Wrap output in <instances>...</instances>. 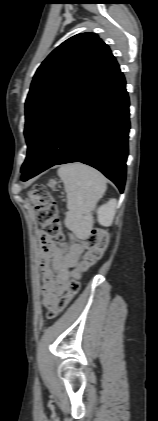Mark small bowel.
<instances>
[{"instance_id":"small-bowel-1","label":"small bowel","mask_w":158,"mask_h":421,"mask_svg":"<svg viewBox=\"0 0 158 421\" xmlns=\"http://www.w3.org/2000/svg\"><path fill=\"white\" fill-rule=\"evenodd\" d=\"M40 267L42 272V296L46 308L54 307L67 291V284L76 269L83 247L73 243L69 253L52 238L41 235Z\"/></svg>"}]
</instances>
